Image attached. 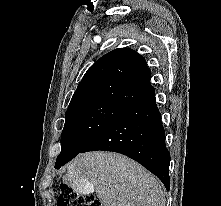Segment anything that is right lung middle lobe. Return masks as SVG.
<instances>
[{
  "mask_svg": "<svg viewBox=\"0 0 221 206\" xmlns=\"http://www.w3.org/2000/svg\"><path fill=\"white\" fill-rule=\"evenodd\" d=\"M125 109L109 104H94L67 111L61 134V153L57 157L55 168L79 154Z\"/></svg>",
  "mask_w": 221,
  "mask_h": 206,
  "instance_id": "1",
  "label": "right lung middle lobe"
}]
</instances>
